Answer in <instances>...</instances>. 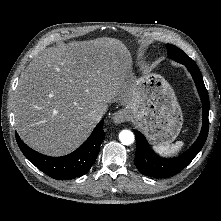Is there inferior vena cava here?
<instances>
[{"label": "inferior vena cava", "mask_w": 221, "mask_h": 221, "mask_svg": "<svg viewBox=\"0 0 221 221\" xmlns=\"http://www.w3.org/2000/svg\"><path fill=\"white\" fill-rule=\"evenodd\" d=\"M106 108H97L94 109L91 113L90 116L95 120V121H100L102 116L105 114Z\"/></svg>", "instance_id": "602c4592"}]
</instances>
